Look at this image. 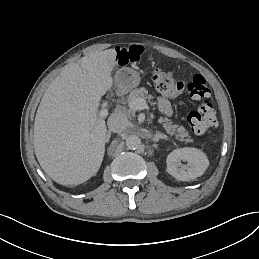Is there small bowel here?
Wrapping results in <instances>:
<instances>
[{
	"mask_svg": "<svg viewBox=\"0 0 259 259\" xmlns=\"http://www.w3.org/2000/svg\"><path fill=\"white\" fill-rule=\"evenodd\" d=\"M142 53L143 48L140 45H129L125 47H117L115 49L116 60L120 64L136 62L139 60ZM158 107L164 115L170 116L172 114L171 104L165 98L158 99Z\"/></svg>",
	"mask_w": 259,
	"mask_h": 259,
	"instance_id": "1",
	"label": "small bowel"
}]
</instances>
